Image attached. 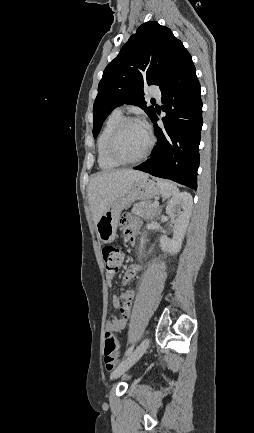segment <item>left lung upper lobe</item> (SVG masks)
<instances>
[{"mask_svg": "<svg viewBox=\"0 0 254 433\" xmlns=\"http://www.w3.org/2000/svg\"><path fill=\"white\" fill-rule=\"evenodd\" d=\"M186 52L169 28L156 21L142 24L103 72L93 106L94 137L111 111L124 103L139 106L151 118L155 109L146 106L144 86L161 88Z\"/></svg>", "mask_w": 254, "mask_h": 433, "instance_id": "1", "label": "left lung upper lobe"}]
</instances>
